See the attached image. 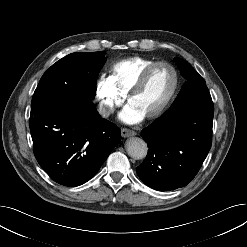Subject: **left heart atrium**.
Returning a JSON list of instances; mask_svg holds the SVG:
<instances>
[{"instance_id": "obj_1", "label": "left heart atrium", "mask_w": 247, "mask_h": 247, "mask_svg": "<svg viewBox=\"0 0 247 247\" xmlns=\"http://www.w3.org/2000/svg\"><path fill=\"white\" fill-rule=\"evenodd\" d=\"M120 119L127 124H137L144 119V115L140 113L132 105H128L120 114Z\"/></svg>"}]
</instances>
